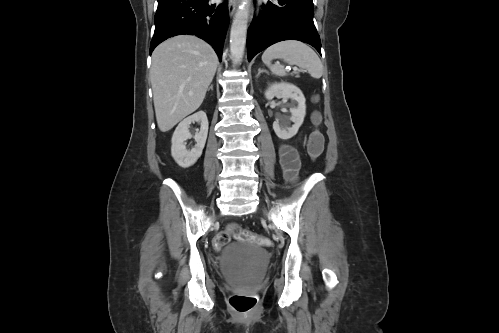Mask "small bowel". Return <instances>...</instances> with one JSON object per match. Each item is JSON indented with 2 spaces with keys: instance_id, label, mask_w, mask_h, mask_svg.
<instances>
[{
  "instance_id": "1",
  "label": "small bowel",
  "mask_w": 499,
  "mask_h": 333,
  "mask_svg": "<svg viewBox=\"0 0 499 333\" xmlns=\"http://www.w3.org/2000/svg\"><path fill=\"white\" fill-rule=\"evenodd\" d=\"M279 156L285 179L292 183L295 182L300 170V159L297 150L289 144H281Z\"/></svg>"
}]
</instances>
